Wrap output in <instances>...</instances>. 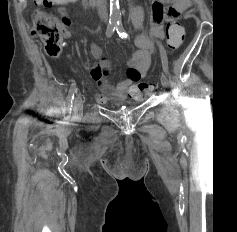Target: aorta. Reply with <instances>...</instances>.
Instances as JSON below:
<instances>
[{"label": "aorta", "mask_w": 237, "mask_h": 232, "mask_svg": "<svg viewBox=\"0 0 237 232\" xmlns=\"http://www.w3.org/2000/svg\"><path fill=\"white\" fill-rule=\"evenodd\" d=\"M121 21V11L119 0H110V22L119 23Z\"/></svg>", "instance_id": "aorta-1"}]
</instances>
